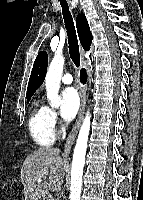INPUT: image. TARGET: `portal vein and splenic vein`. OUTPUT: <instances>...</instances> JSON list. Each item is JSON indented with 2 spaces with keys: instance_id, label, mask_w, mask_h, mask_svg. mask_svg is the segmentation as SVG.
I'll list each match as a JSON object with an SVG mask.
<instances>
[{
  "instance_id": "1",
  "label": "portal vein and splenic vein",
  "mask_w": 143,
  "mask_h": 200,
  "mask_svg": "<svg viewBox=\"0 0 143 200\" xmlns=\"http://www.w3.org/2000/svg\"><path fill=\"white\" fill-rule=\"evenodd\" d=\"M48 173V170H44V174L46 175ZM50 200H53V199H50Z\"/></svg>"
}]
</instances>
